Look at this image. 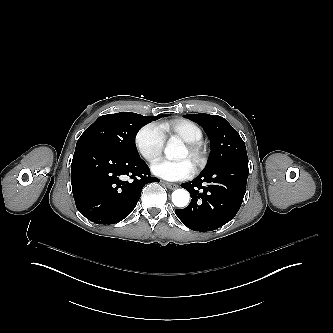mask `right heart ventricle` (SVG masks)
Returning a JSON list of instances; mask_svg holds the SVG:
<instances>
[{
    "mask_svg": "<svg viewBox=\"0 0 333 333\" xmlns=\"http://www.w3.org/2000/svg\"><path fill=\"white\" fill-rule=\"evenodd\" d=\"M159 130L164 137L169 134L172 138L178 137L186 143L198 142L203 139V133L199 126L186 119L174 120L167 126L160 125Z\"/></svg>",
    "mask_w": 333,
    "mask_h": 333,
    "instance_id": "1",
    "label": "right heart ventricle"
}]
</instances>
